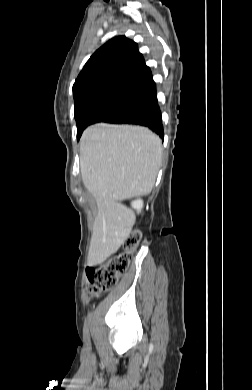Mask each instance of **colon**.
Here are the masks:
<instances>
[{"label": "colon", "instance_id": "5ec220e1", "mask_svg": "<svg viewBox=\"0 0 252 390\" xmlns=\"http://www.w3.org/2000/svg\"><path fill=\"white\" fill-rule=\"evenodd\" d=\"M141 236L140 231H134L124 240L122 251L113 255L104 263L90 267L87 270L89 285L94 294L103 293L117 284L119 277L130 265Z\"/></svg>", "mask_w": 252, "mask_h": 390}]
</instances>
